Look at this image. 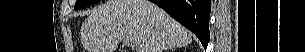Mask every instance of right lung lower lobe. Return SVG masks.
Returning a JSON list of instances; mask_svg holds the SVG:
<instances>
[{
  "label": "right lung lower lobe",
  "instance_id": "right-lung-lower-lobe-1",
  "mask_svg": "<svg viewBox=\"0 0 305 52\" xmlns=\"http://www.w3.org/2000/svg\"><path fill=\"white\" fill-rule=\"evenodd\" d=\"M192 31L206 49L209 42L210 0H150Z\"/></svg>",
  "mask_w": 305,
  "mask_h": 52
}]
</instances>
